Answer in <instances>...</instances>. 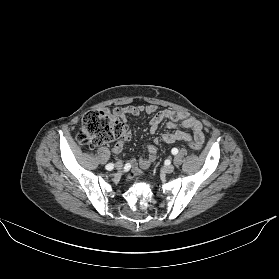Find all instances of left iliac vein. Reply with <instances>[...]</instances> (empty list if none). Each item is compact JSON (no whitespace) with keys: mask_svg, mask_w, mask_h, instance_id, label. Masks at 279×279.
Returning a JSON list of instances; mask_svg holds the SVG:
<instances>
[{"mask_svg":"<svg viewBox=\"0 0 279 279\" xmlns=\"http://www.w3.org/2000/svg\"><path fill=\"white\" fill-rule=\"evenodd\" d=\"M175 167L173 165H167L163 168L164 172L170 174L174 171Z\"/></svg>","mask_w":279,"mask_h":279,"instance_id":"1","label":"left iliac vein"}]
</instances>
